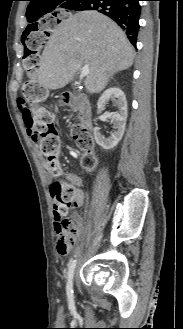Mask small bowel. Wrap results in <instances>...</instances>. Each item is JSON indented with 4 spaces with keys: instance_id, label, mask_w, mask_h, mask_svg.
<instances>
[{
    "instance_id": "1",
    "label": "small bowel",
    "mask_w": 183,
    "mask_h": 329,
    "mask_svg": "<svg viewBox=\"0 0 183 329\" xmlns=\"http://www.w3.org/2000/svg\"><path fill=\"white\" fill-rule=\"evenodd\" d=\"M20 104L21 103L18 102V106L19 107H20ZM22 117H23V121H24V123L26 125V128H27V134L31 138L32 142L34 143L35 140L33 139L32 131H31L30 127H29V117H30V115L29 114H22ZM66 179L74 182L77 185V186H75L76 205L77 206H81L83 204V202H84L85 196H84L83 190L79 187L80 180L76 176H74L72 174H67L66 175ZM72 223H73L75 229L78 232L83 227L82 219L76 213L73 214V216H72ZM54 228H55L56 233L58 234V239L56 241L57 251H58V253L60 255H66L68 253V250H69V247H70L71 244L67 242L64 229H63L60 221L58 219H56V218H55V222H54Z\"/></svg>"
}]
</instances>
